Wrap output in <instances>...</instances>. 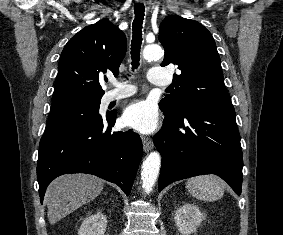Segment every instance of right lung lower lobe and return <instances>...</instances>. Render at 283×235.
<instances>
[{"label": "right lung lower lobe", "mask_w": 283, "mask_h": 235, "mask_svg": "<svg viewBox=\"0 0 283 235\" xmlns=\"http://www.w3.org/2000/svg\"><path fill=\"white\" fill-rule=\"evenodd\" d=\"M116 116H97L42 136L37 164L41 203L49 183L66 173L93 174L130 194L143 146L131 130L111 131Z\"/></svg>", "instance_id": "obj_1"}]
</instances>
